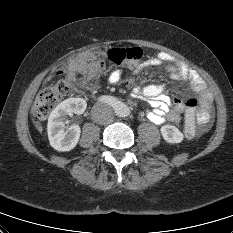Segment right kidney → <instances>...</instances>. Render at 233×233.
Wrapping results in <instances>:
<instances>
[{
	"mask_svg": "<svg viewBox=\"0 0 233 233\" xmlns=\"http://www.w3.org/2000/svg\"><path fill=\"white\" fill-rule=\"evenodd\" d=\"M87 103L82 98H70L54 108L48 119V138L50 145L59 152L72 150L78 143L81 129L78 125H72L67 130L65 120L72 113L82 114Z\"/></svg>",
	"mask_w": 233,
	"mask_h": 233,
	"instance_id": "ca27d5eb",
	"label": "right kidney"
}]
</instances>
